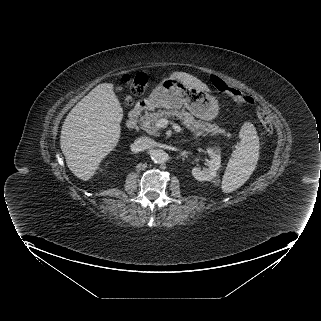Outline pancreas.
I'll return each mask as SVG.
<instances>
[{
    "label": "pancreas",
    "instance_id": "1",
    "mask_svg": "<svg viewBox=\"0 0 321 321\" xmlns=\"http://www.w3.org/2000/svg\"><path fill=\"white\" fill-rule=\"evenodd\" d=\"M176 116L181 120L182 125L193 132L196 136H205L207 134L218 135L222 134L224 136H229L230 134L225 131V129L220 128L216 124H211L208 122H201L195 120L194 117L184 109L182 110H158L157 112L147 113L140 118V125L142 128L153 136L160 135V127L156 125L157 121L164 117H174Z\"/></svg>",
    "mask_w": 321,
    "mask_h": 321
}]
</instances>
